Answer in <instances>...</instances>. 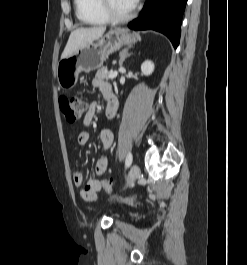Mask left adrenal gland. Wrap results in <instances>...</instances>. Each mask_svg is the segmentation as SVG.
<instances>
[{"label": "left adrenal gland", "mask_w": 247, "mask_h": 265, "mask_svg": "<svg viewBox=\"0 0 247 265\" xmlns=\"http://www.w3.org/2000/svg\"><path fill=\"white\" fill-rule=\"evenodd\" d=\"M119 56H120L119 65L122 66L125 59L130 57L131 54L128 53V49H125L124 51L120 52Z\"/></svg>", "instance_id": "obj_1"}]
</instances>
